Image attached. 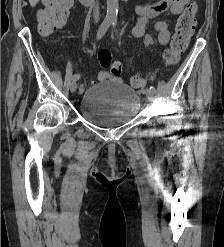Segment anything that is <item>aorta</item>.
<instances>
[{
    "mask_svg": "<svg viewBox=\"0 0 224 247\" xmlns=\"http://www.w3.org/2000/svg\"><path fill=\"white\" fill-rule=\"evenodd\" d=\"M118 6V0H107L106 18H108V20H117Z\"/></svg>",
    "mask_w": 224,
    "mask_h": 247,
    "instance_id": "1",
    "label": "aorta"
}]
</instances>
